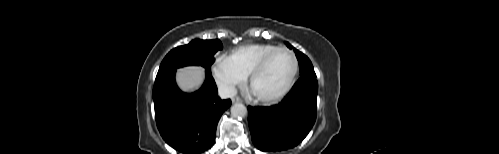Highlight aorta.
I'll use <instances>...</instances> for the list:
<instances>
[{"label":"aorta","mask_w":499,"mask_h":154,"mask_svg":"<svg viewBox=\"0 0 499 154\" xmlns=\"http://www.w3.org/2000/svg\"><path fill=\"white\" fill-rule=\"evenodd\" d=\"M231 115L234 118H243L247 115V108L242 103H236L231 107Z\"/></svg>","instance_id":"762f6f07"}]
</instances>
